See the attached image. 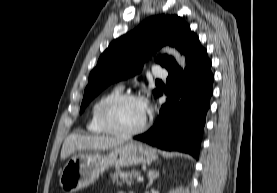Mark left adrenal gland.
Wrapping results in <instances>:
<instances>
[{
    "mask_svg": "<svg viewBox=\"0 0 277 193\" xmlns=\"http://www.w3.org/2000/svg\"><path fill=\"white\" fill-rule=\"evenodd\" d=\"M148 179H149V182H148V185H147V188H149L152 184H153V181L159 177V172L155 171V170H149L148 171Z\"/></svg>",
    "mask_w": 277,
    "mask_h": 193,
    "instance_id": "left-adrenal-gland-1",
    "label": "left adrenal gland"
}]
</instances>
